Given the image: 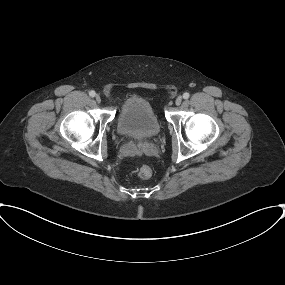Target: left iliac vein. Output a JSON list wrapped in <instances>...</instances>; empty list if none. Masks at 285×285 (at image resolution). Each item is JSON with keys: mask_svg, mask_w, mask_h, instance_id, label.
<instances>
[{"mask_svg": "<svg viewBox=\"0 0 285 285\" xmlns=\"http://www.w3.org/2000/svg\"><path fill=\"white\" fill-rule=\"evenodd\" d=\"M181 103H182V97H181V96H178V97L176 98V100H175V104H176L177 106H179Z\"/></svg>", "mask_w": 285, "mask_h": 285, "instance_id": "1", "label": "left iliac vein"}]
</instances>
